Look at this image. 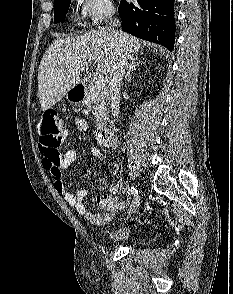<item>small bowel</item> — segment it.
Instances as JSON below:
<instances>
[{"label": "small bowel", "mask_w": 233, "mask_h": 294, "mask_svg": "<svg viewBox=\"0 0 233 294\" xmlns=\"http://www.w3.org/2000/svg\"><path fill=\"white\" fill-rule=\"evenodd\" d=\"M76 130L85 131L87 129V122L84 119L77 118L75 120ZM72 134L70 129H65L62 133L63 138H67ZM59 156H46L42 159L43 168L48 172L50 178L53 181L55 190L63 196L64 200L79 214L84 216L90 223L95 226H101L109 222L112 218L110 211H105L98 214H93L86 209L84 200L87 197V191L79 189L72 193L68 191L62 181V171L68 169L76 160V149H59ZM93 154L98 157H102V151L100 148H94ZM108 187V182L105 179L98 181V188L104 190ZM118 187L116 185L111 187L113 193L117 192ZM108 200H118L114 195H100L96 198V204L100 208L108 209L105 206V202ZM121 202V201H120ZM122 204V202H121ZM123 205V204H122ZM111 210V209H108Z\"/></svg>", "instance_id": "c3829d8e"}]
</instances>
